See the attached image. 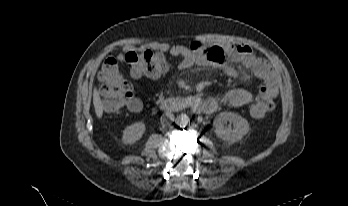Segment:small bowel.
<instances>
[{"label":"small bowel","instance_id":"1","mask_svg":"<svg viewBox=\"0 0 348 206\" xmlns=\"http://www.w3.org/2000/svg\"><path fill=\"white\" fill-rule=\"evenodd\" d=\"M150 47L169 52L180 58L179 69L188 70L195 65H214L224 74L232 78H239L240 73L230 65V62H239L253 74L267 82L270 91L277 93V77L272 66L264 59L258 57L252 48L242 43H231L226 45H206L201 42H193L190 46L174 45L157 42ZM253 101V95L242 88L231 89L225 93L222 102L230 106H243ZM217 102L214 101L215 110ZM140 109V106L137 110ZM134 110V111H137Z\"/></svg>","mask_w":348,"mask_h":206}]
</instances>
